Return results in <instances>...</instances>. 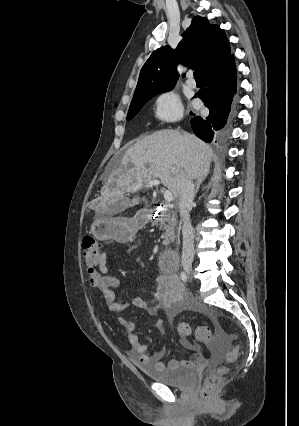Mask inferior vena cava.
Listing matches in <instances>:
<instances>
[{
  "instance_id": "602c4592",
  "label": "inferior vena cava",
  "mask_w": 299,
  "mask_h": 426,
  "mask_svg": "<svg viewBox=\"0 0 299 426\" xmlns=\"http://www.w3.org/2000/svg\"><path fill=\"white\" fill-rule=\"evenodd\" d=\"M195 196L191 177L183 176L179 192V214L182 219V264L191 267L194 259V231L190 221V211Z\"/></svg>"
}]
</instances>
